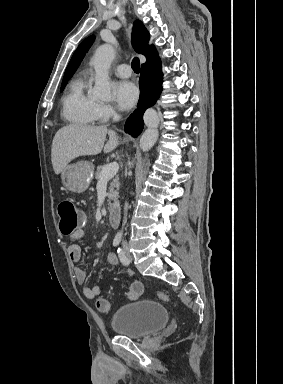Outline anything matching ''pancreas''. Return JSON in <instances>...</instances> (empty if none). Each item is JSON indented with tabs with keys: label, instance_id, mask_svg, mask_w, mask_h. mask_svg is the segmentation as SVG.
<instances>
[{
	"label": "pancreas",
	"instance_id": "pancreas-1",
	"mask_svg": "<svg viewBox=\"0 0 283 384\" xmlns=\"http://www.w3.org/2000/svg\"><path fill=\"white\" fill-rule=\"evenodd\" d=\"M103 168H105V166H97V170L95 172V178L96 180H100V176H101V172L103 170ZM120 184H119V178H114L113 182H111L110 184V192L108 194V202H109V206L111 208V210H109V212H112V210H115V208H119V202H118V196H119V192H118V188H119Z\"/></svg>",
	"mask_w": 283,
	"mask_h": 384
}]
</instances>
